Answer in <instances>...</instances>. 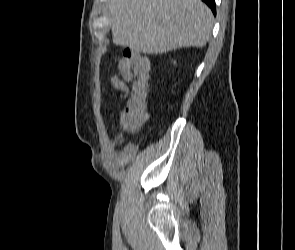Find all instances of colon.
Masks as SVG:
<instances>
[{"mask_svg":"<svg viewBox=\"0 0 295 250\" xmlns=\"http://www.w3.org/2000/svg\"><path fill=\"white\" fill-rule=\"evenodd\" d=\"M131 55V51H124L119 61ZM148 80L135 79L130 85V97L120 111L121 123L127 131L138 130L148 119L147 103Z\"/></svg>","mask_w":295,"mask_h":250,"instance_id":"obj_1","label":"colon"}]
</instances>
